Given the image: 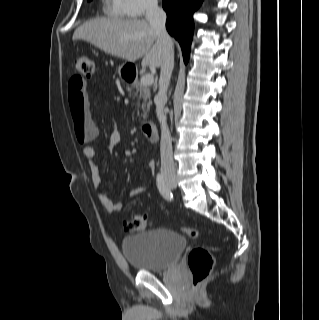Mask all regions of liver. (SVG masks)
I'll use <instances>...</instances> for the list:
<instances>
[{
    "mask_svg": "<svg viewBox=\"0 0 319 320\" xmlns=\"http://www.w3.org/2000/svg\"><path fill=\"white\" fill-rule=\"evenodd\" d=\"M72 39L130 62L143 58L142 66L160 67L163 62L164 45L146 20L93 19L79 26Z\"/></svg>",
    "mask_w": 319,
    "mask_h": 320,
    "instance_id": "6515ba94",
    "label": "liver"
}]
</instances>
